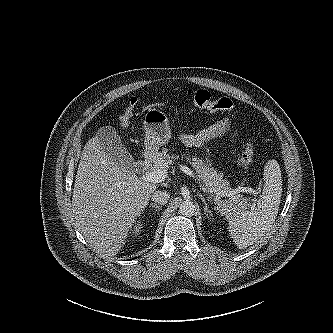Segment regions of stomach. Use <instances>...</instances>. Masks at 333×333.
<instances>
[{
	"mask_svg": "<svg viewBox=\"0 0 333 333\" xmlns=\"http://www.w3.org/2000/svg\"><path fill=\"white\" fill-rule=\"evenodd\" d=\"M143 128L145 130V153L153 156L171 138L167 115L157 109L148 110L144 115Z\"/></svg>",
	"mask_w": 333,
	"mask_h": 333,
	"instance_id": "1",
	"label": "stomach"
}]
</instances>
